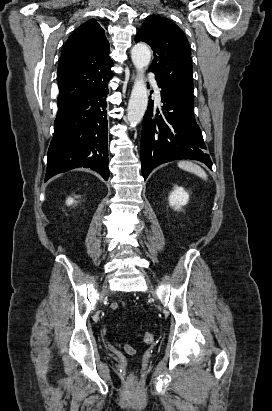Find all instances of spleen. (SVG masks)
Returning a JSON list of instances; mask_svg holds the SVG:
<instances>
[{
	"instance_id": "1",
	"label": "spleen",
	"mask_w": 272,
	"mask_h": 411,
	"mask_svg": "<svg viewBox=\"0 0 272 411\" xmlns=\"http://www.w3.org/2000/svg\"><path fill=\"white\" fill-rule=\"evenodd\" d=\"M178 167L181 168L182 170L191 172L204 180H207L208 178L206 172L200 166L194 164L191 161H186V160L180 161L178 162Z\"/></svg>"
}]
</instances>
